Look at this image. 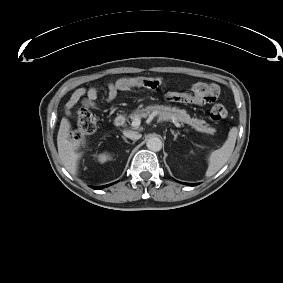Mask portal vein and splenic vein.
Listing matches in <instances>:
<instances>
[{
    "label": "portal vein and splenic vein",
    "instance_id": "1",
    "mask_svg": "<svg viewBox=\"0 0 283 283\" xmlns=\"http://www.w3.org/2000/svg\"><path fill=\"white\" fill-rule=\"evenodd\" d=\"M140 123H141L140 118L137 117L132 121L131 125H132V127L137 128V127L140 126ZM174 125L176 127H181L180 123H178V122H174Z\"/></svg>",
    "mask_w": 283,
    "mask_h": 283
}]
</instances>
